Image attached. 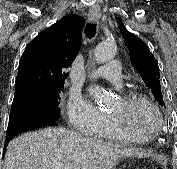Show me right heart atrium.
I'll use <instances>...</instances> for the list:
<instances>
[{"instance_id": "obj_1", "label": "right heart atrium", "mask_w": 177, "mask_h": 169, "mask_svg": "<svg viewBox=\"0 0 177 169\" xmlns=\"http://www.w3.org/2000/svg\"><path fill=\"white\" fill-rule=\"evenodd\" d=\"M67 118L77 131L91 134L103 124L105 115L79 93H72L67 104Z\"/></svg>"}]
</instances>
